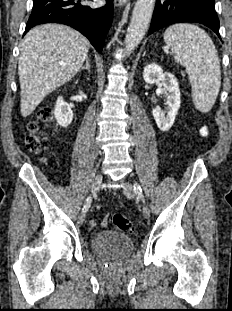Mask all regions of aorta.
Masks as SVG:
<instances>
[{
    "label": "aorta",
    "mask_w": 232,
    "mask_h": 311,
    "mask_svg": "<svg viewBox=\"0 0 232 311\" xmlns=\"http://www.w3.org/2000/svg\"><path fill=\"white\" fill-rule=\"evenodd\" d=\"M156 0H137L125 38V49L130 53L140 43L152 18Z\"/></svg>",
    "instance_id": "1"
}]
</instances>
